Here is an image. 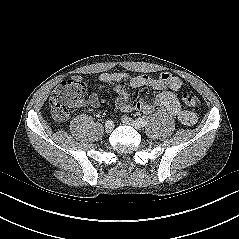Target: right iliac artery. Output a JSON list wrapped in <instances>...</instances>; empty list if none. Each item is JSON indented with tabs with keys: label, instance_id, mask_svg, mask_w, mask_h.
I'll list each match as a JSON object with an SVG mask.
<instances>
[{
	"label": "right iliac artery",
	"instance_id": "right-iliac-artery-1",
	"mask_svg": "<svg viewBox=\"0 0 239 239\" xmlns=\"http://www.w3.org/2000/svg\"><path fill=\"white\" fill-rule=\"evenodd\" d=\"M115 121L112 119H107V125H114Z\"/></svg>",
	"mask_w": 239,
	"mask_h": 239
}]
</instances>
